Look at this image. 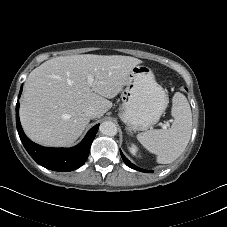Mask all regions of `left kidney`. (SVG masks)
Masks as SVG:
<instances>
[{
    "label": "left kidney",
    "instance_id": "1",
    "mask_svg": "<svg viewBox=\"0 0 227 227\" xmlns=\"http://www.w3.org/2000/svg\"><path fill=\"white\" fill-rule=\"evenodd\" d=\"M129 150H130V152H131L133 155H136V153H137V151H138L137 147H136L134 144H132V145L129 147Z\"/></svg>",
    "mask_w": 227,
    "mask_h": 227
}]
</instances>
